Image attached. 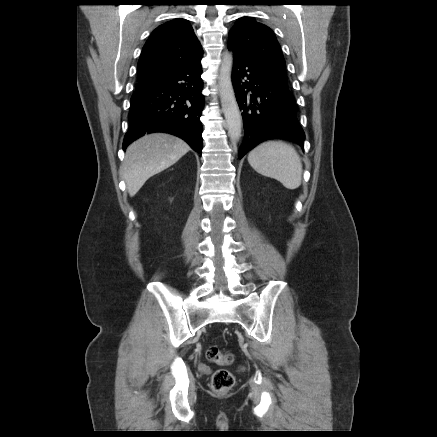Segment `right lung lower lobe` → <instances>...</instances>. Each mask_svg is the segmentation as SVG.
<instances>
[{
	"label": "right lung lower lobe",
	"mask_w": 437,
	"mask_h": 437,
	"mask_svg": "<svg viewBox=\"0 0 437 437\" xmlns=\"http://www.w3.org/2000/svg\"><path fill=\"white\" fill-rule=\"evenodd\" d=\"M200 62L201 58L135 90L123 150L146 132H166L182 138L193 150L202 153L203 128L199 119L204 99Z\"/></svg>",
	"instance_id": "98d812e1"
}]
</instances>
